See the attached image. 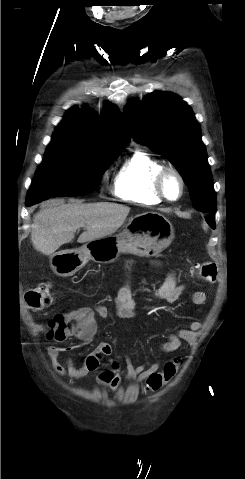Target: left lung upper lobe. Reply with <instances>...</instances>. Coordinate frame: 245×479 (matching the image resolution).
Returning a JSON list of instances; mask_svg holds the SVG:
<instances>
[{"instance_id":"5c2ea615","label":"left lung upper lobe","mask_w":245,"mask_h":479,"mask_svg":"<svg viewBox=\"0 0 245 479\" xmlns=\"http://www.w3.org/2000/svg\"><path fill=\"white\" fill-rule=\"evenodd\" d=\"M133 138L146 144L176 167L188 186L194 207L207 214L216 210L210 165L199 123L177 95L154 92L142 103L124 109Z\"/></svg>"}]
</instances>
